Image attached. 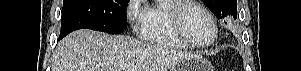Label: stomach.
<instances>
[{"instance_id": "0dacf381", "label": "stomach", "mask_w": 301, "mask_h": 71, "mask_svg": "<svg viewBox=\"0 0 301 71\" xmlns=\"http://www.w3.org/2000/svg\"><path fill=\"white\" fill-rule=\"evenodd\" d=\"M170 71H213L212 64L200 55H190Z\"/></svg>"}]
</instances>
